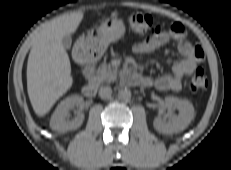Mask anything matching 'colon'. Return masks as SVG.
Wrapping results in <instances>:
<instances>
[{"label": "colon", "mask_w": 231, "mask_h": 170, "mask_svg": "<svg viewBox=\"0 0 231 170\" xmlns=\"http://www.w3.org/2000/svg\"><path fill=\"white\" fill-rule=\"evenodd\" d=\"M127 22L130 28L136 33L143 34L148 31H152L155 34H159L163 31L160 26H154L151 16L144 13H133L127 18ZM188 87L190 91L197 92L204 90L207 87V79L202 68H197L192 73Z\"/></svg>", "instance_id": "1"}]
</instances>
